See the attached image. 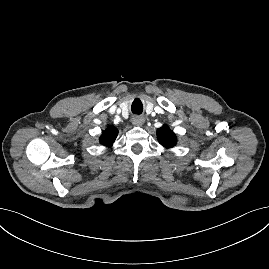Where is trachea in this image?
Returning <instances> with one entry per match:
<instances>
[{"mask_svg":"<svg viewBox=\"0 0 269 269\" xmlns=\"http://www.w3.org/2000/svg\"><path fill=\"white\" fill-rule=\"evenodd\" d=\"M132 112H133L134 114H141L142 109H132Z\"/></svg>","mask_w":269,"mask_h":269,"instance_id":"3493384b","label":"trachea"}]
</instances>
